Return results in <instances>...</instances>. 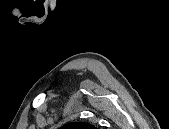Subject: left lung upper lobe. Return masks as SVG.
I'll use <instances>...</instances> for the list:
<instances>
[{"label":"left lung upper lobe","instance_id":"1","mask_svg":"<svg viewBox=\"0 0 169 129\" xmlns=\"http://www.w3.org/2000/svg\"><path fill=\"white\" fill-rule=\"evenodd\" d=\"M63 128L64 129H94L95 127L88 123L73 122L64 125Z\"/></svg>","mask_w":169,"mask_h":129}]
</instances>
